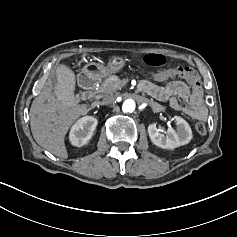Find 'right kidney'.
Here are the masks:
<instances>
[{
	"label": "right kidney",
	"mask_w": 237,
	"mask_h": 237,
	"mask_svg": "<svg viewBox=\"0 0 237 237\" xmlns=\"http://www.w3.org/2000/svg\"><path fill=\"white\" fill-rule=\"evenodd\" d=\"M97 124V119L92 116H85L77 120L70 130L71 144L76 147L85 145L91 139Z\"/></svg>",
	"instance_id": "right-kidney-1"
}]
</instances>
